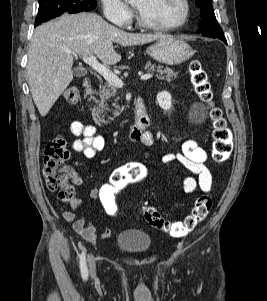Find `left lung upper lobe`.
I'll use <instances>...</instances> for the list:
<instances>
[{"instance_id":"obj_1","label":"left lung upper lobe","mask_w":267,"mask_h":301,"mask_svg":"<svg viewBox=\"0 0 267 301\" xmlns=\"http://www.w3.org/2000/svg\"><path fill=\"white\" fill-rule=\"evenodd\" d=\"M211 1L212 0L195 1V4L201 10V21L199 22L197 32L207 37L223 38V30L216 20Z\"/></svg>"}]
</instances>
